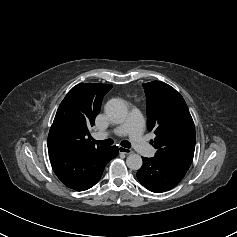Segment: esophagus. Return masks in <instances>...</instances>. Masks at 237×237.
Here are the masks:
<instances>
[{
  "label": "esophagus",
  "mask_w": 237,
  "mask_h": 237,
  "mask_svg": "<svg viewBox=\"0 0 237 237\" xmlns=\"http://www.w3.org/2000/svg\"><path fill=\"white\" fill-rule=\"evenodd\" d=\"M119 152L123 154H127V155L133 153L131 149H128L122 146L119 147Z\"/></svg>",
  "instance_id": "esophagus-1"
}]
</instances>
